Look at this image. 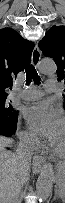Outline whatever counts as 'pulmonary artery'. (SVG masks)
<instances>
[{
	"instance_id": "1",
	"label": "pulmonary artery",
	"mask_w": 65,
	"mask_h": 203,
	"mask_svg": "<svg viewBox=\"0 0 65 203\" xmlns=\"http://www.w3.org/2000/svg\"><path fill=\"white\" fill-rule=\"evenodd\" d=\"M45 91L46 92H58L59 86L55 79H48L45 84ZM43 96V92L39 89H25L21 92L16 93L12 99L13 100H25L31 101L39 99Z\"/></svg>"
}]
</instances>
